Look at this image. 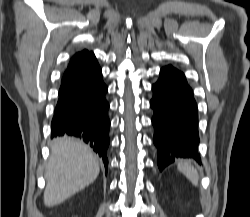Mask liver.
I'll return each instance as SVG.
<instances>
[{"label": "liver", "mask_w": 250, "mask_h": 217, "mask_svg": "<svg viewBox=\"0 0 250 217\" xmlns=\"http://www.w3.org/2000/svg\"><path fill=\"white\" fill-rule=\"evenodd\" d=\"M50 148L45 170L44 204L53 207L91 184L100 168L90 147L82 142L67 137L57 138Z\"/></svg>", "instance_id": "liver-1"}]
</instances>
